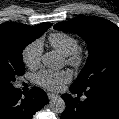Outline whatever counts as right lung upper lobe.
Returning <instances> with one entry per match:
<instances>
[{
	"label": "right lung upper lobe",
	"mask_w": 119,
	"mask_h": 119,
	"mask_svg": "<svg viewBox=\"0 0 119 119\" xmlns=\"http://www.w3.org/2000/svg\"><path fill=\"white\" fill-rule=\"evenodd\" d=\"M50 26H51V23H41L37 26H28L25 24H19L14 22L1 24L0 25V43L3 42L12 33L20 32V31L34 33L41 36Z\"/></svg>",
	"instance_id": "cb5924a9"
}]
</instances>
